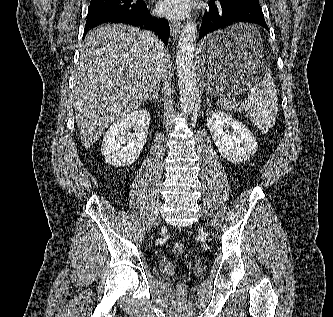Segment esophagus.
<instances>
[{
    "label": "esophagus",
    "mask_w": 333,
    "mask_h": 317,
    "mask_svg": "<svg viewBox=\"0 0 333 317\" xmlns=\"http://www.w3.org/2000/svg\"><path fill=\"white\" fill-rule=\"evenodd\" d=\"M171 33L174 37H177L182 31V24L179 22L170 23Z\"/></svg>",
    "instance_id": "esophagus-1"
}]
</instances>
